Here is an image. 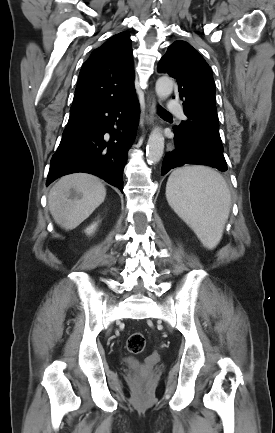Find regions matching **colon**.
<instances>
[{
	"mask_svg": "<svg viewBox=\"0 0 275 433\" xmlns=\"http://www.w3.org/2000/svg\"><path fill=\"white\" fill-rule=\"evenodd\" d=\"M145 337L141 332H133L126 341V348L132 354H139L144 350Z\"/></svg>",
	"mask_w": 275,
	"mask_h": 433,
	"instance_id": "obj_1",
	"label": "colon"
}]
</instances>
